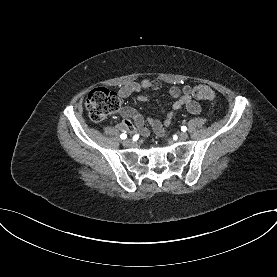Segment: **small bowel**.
<instances>
[{
    "label": "small bowel",
    "instance_id": "c3829d8e",
    "mask_svg": "<svg viewBox=\"0 0 277 277\" xmlns=\"http://www.w3.org/2000/svg\"><path fill=\"white\" fill-rule=\"evenodd\" d=\"M162 87V84L157 80H149L144 79L140 82H130L122 86L118 92L117 95L119 98H127L131 96L134 93H141L144 90H159ZM168 95L175 99V102L172 105V110L177 111L181 108H185L189 113L197 115L201 112V106L200 104L194 99L192 88L188 85H185L183 87H177L173 86L169 89ZM137 100L139 102L148 103L150 101L149 97L146 95H139L137 97ZM170 111L166 114L163 121H160L159 119L155 117H149L147 119L148 124L151 127V130L158 136H164L167 132V128L171 125L174 112ZM123 117L126 118V120L123 123V127L132 130L133 125L128 119H132L134 122V125L137 129V131L142 136H149L151 133V130L146 126L145 119L141 114H139L135 109L133 108H124L121 111Z\"/></svg>",
    "mask_w": 277,
    "mask_h": 277
}]
</instances>
